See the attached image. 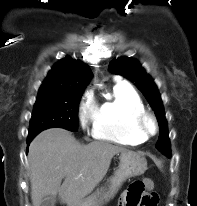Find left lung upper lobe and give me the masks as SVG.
<instances>
[{
  "label": "left lung upper lobe",
  "instance_id": "1",
  "mask_svg": "<svg viewBox=\"0 0 197 206\" xmlns=\"http://www.w3.org/2000/svg\"><path fill=\"white\" fill-rule=\"evenodd\" d=\"M109 70L114 74L122 75L136 84L155 112L159 123V139L156 148L162 153L170 152V141L168 138L167 121L164 108L157 86L145 70L136 61L128 57H121L109 65Z\"/></svg>",
  "mask_w": 197,
  "mask_h": 206
}]
</instances>
